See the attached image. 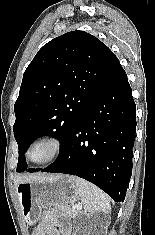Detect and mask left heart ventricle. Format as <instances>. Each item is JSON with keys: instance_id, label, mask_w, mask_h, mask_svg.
<instances>
[{"instance_id": "1", "label": "left heart ventricle", "mask_w": 155, "mask_h": 235, "mask_svg": "<svg viewBox=\"0 0 155 235\" xmlns=\"http://www.w3.org/2000/svg\"><path fill=\"white\" fill-rule=\"evenodd\" d=\"M52 146L50 144H39L33 148L31 151V158L34 161H42L46 159L52 153Z\"/></svg>"}]
</instances>
